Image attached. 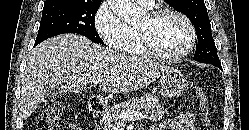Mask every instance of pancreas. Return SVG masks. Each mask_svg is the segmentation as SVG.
Instances as JSON below:
<instances>
[{"mask_svg": "<svg viewBox=\"0 0 249 130\" xmlns=\"http://www.w3.org/2000/svg\"><path fill=\"white\" fill-rule=\"evenodd\" d=\"M144 109L146 118L152 121H159L167 113V109H164L160 104L159 99L151 94L142 96L141 98H132L128 101L117 104L106 110L104 117L101 119V123L104 125V130H118L122 120L119 115L123 112H138Z\"/></svg>", "mask_w": 249, "mask_h": 130, "instance_id": "obj_1", "label": "pancreas"}]
</instances>
